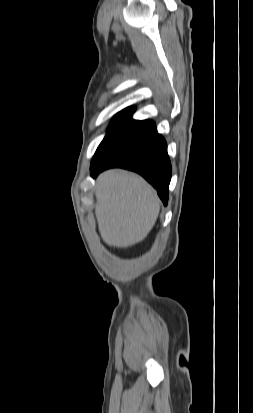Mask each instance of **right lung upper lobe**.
I'll use <instances>...</instances> for the list:
<instances>
[{
    "label": "right lung upper lobe",
    "mask_w": 253,
    "mask_h": 413,
    "mask_svg": "<svg viewBox=\"0 0 253 413\" xmlns=\"http://www.w3.org/2000/svg\"><path fill=\"white\" fill-rule=\"evenodd\" d=\"M134 111H135V108H134V107H128V108L124 109V110L121 111V112H130V113H132V112H134Z\"/></svg>",
    "instance_id": "obj_1"
}]
</instances>
